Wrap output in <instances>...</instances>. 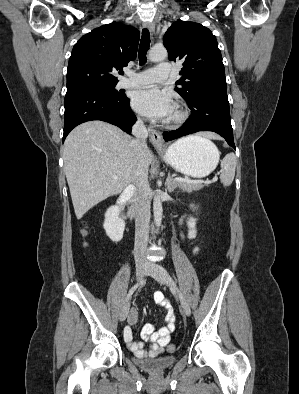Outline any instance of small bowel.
Returning a JSON list of instances; mask_svg holds the SVG:
<instances>
[{"instance_id":"obj_1","label":"small bowel","mask_w":299,"mask_h":394,"mask_svg":"<svg viewBox=\"0 0 299 394\" xmlns=\"http://www.w3.org/2000/svg\"><path fill=\"white\" fill-rule=\"evenodd\" d=\"M188 236L189 238L194 237V232H190ZM153 299L155 303L165 309L166 325L157 329L153 324L148 323L142 327L140 333L141 338L144 341H150V347L145 349L142 342L133 340L131 326L136 324L138 320V313L135 309H131L128 316L129 326L124 329V339L130 350L138 358H154L160 355L170 341L171 334L176 328V313L170 299L161 291L155 292Z\"/></svg>"}]
</instances>
